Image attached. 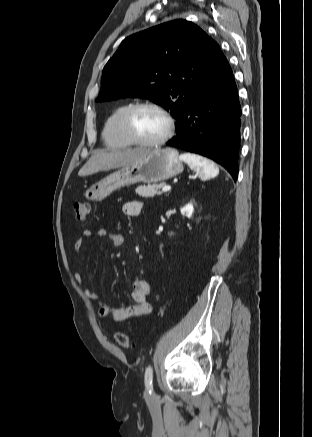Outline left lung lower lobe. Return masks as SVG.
Here are the masks:
<instances>
[{
	"mask_svg": "<svg viewBox=\"0 0 312 437\" xmlns=\"http://www.w3.org/2000/svg\"><path fill=\"white\" fill-rule=\"evenodd\" d=\"M241 106L232 70L224 57L217 72L183 112L177 136L166 144L206 156L238 177Z\"/></svg>",
	"mask_w": 312,
	"mask_h": 437,
	"instance_id": "left-lung-lower-lobe-1",
	"label": "left lung lower lobe"
}]
</instances>
